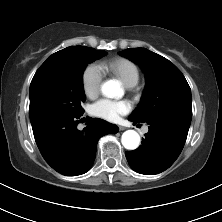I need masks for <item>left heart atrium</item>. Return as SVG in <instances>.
Segmentation results:
<instances>
[{
	"label": "left heart atrium",
	"mask_w": 222,
	"mask_h": 222,
	"mask_svg": "<svg viewBox=\"0 0 222 222\" xmlns=\"http://www.w3.org/2000/svg\"><path fill=\"white\" fill-rule=\"evenodd\" d=\"M131 108V103L128 100L102 98L91 106V113L94 116L115 122L120 116L130 112Z\"/></svg>",
	"instance_id": "left-heart-atrium-1"
}]
</instances>
